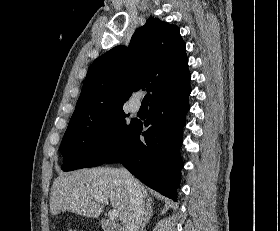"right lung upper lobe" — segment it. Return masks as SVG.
Segmentation results:
<instances>
[{"label":"right lung upper lobe","mask_w":280,"mask_h":231,"mask_svg":"<svg viewBox=\"0 0 280 231\" xmlns=\"http://www.w3.org/2000/svg\"><path fill=\"white\" fill-rule=\"evenodd\" d=\"M190 78L179 28L150 17L128 47H114L92 63L70 122L123 111L132 93L141 89L152 91L153 102L189 85Z\"/></svg>","instance_id":"obj_1"}]
</instances>
